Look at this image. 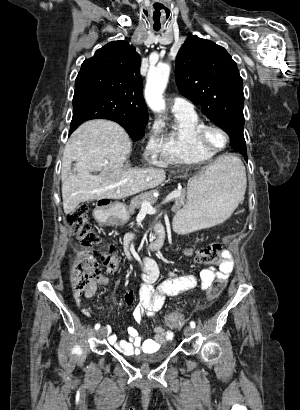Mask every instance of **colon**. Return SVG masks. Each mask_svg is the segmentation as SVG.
I'll return each mask as SVG.
<instances>
[{
  "label": "colon",
  "instance_id": "5ec220e1",
  "mask_svg": "<svg viewBox=\"0 0 300 410\" xmlns=\"http://www.w3.org/2000/svg\"><path fill=\"white\" fill-rule=\"evenodd\" d=\"M67 223L72 226L83 246L92 248V254L82 252L72 256L69 261L70 282L72 288L81 292L94 281L98 276V264L94 255L99 256L101 264L108 271H116L120 265L119 256L112 246L103 243L102 238L96 233L88 222V207L79 206L69 214ZM222 246L211 244L205 248L197 250L194 254L195 260L199 263H219L221 259ZM190 253V251H187ZM226 281L216 280L208 289L209 299L217 298L224 289ZM184 317L179 313H170L166 318L169 327L178 328L184 324Z\"/></svg>",
  "mask_w": 300,
  "mask_h": 410
}]
</instances>
